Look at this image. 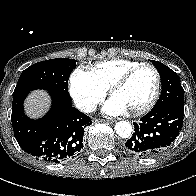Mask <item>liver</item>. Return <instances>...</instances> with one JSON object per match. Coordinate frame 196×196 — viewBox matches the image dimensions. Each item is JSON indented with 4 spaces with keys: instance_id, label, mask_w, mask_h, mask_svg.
<instances>
[{
    "instance_id": "liver-1",
    "label": "liver",
    "mask_w": 196,
    "mask_h": 196,
    "mask_svg": "<svg viewBox=\"0 0 196 196\" xmlns=\"http://www.w3.org/2000/svg\"><path fill=\"white\" fill-rule=\"evenodd\" d=\"M50 98L45 91L32 92L26 102V112L31 117L42 116L49 108Z\"/></svg>"
}]
</instances>
